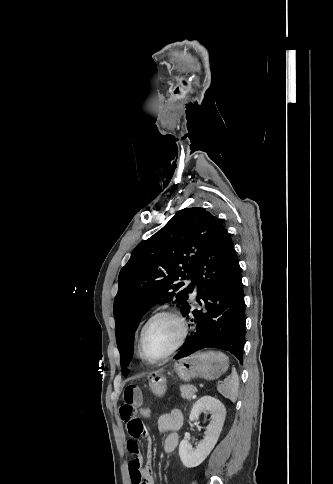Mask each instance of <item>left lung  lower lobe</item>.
I'll list each match as a JSON object with an SVG mask.
<instances>
[{"label": "left lung lower lobe", "mask_w": 333, "mask_h": 484, "mask_svg": "<svg viewBox=\"0 0 333 484\" xmlns=\"http://www.w3.org/2000/svg\"><path fill=\"white\" fill-rule=\"evenodd\" d=\"M190 279L192 288L198 284L197 301L203 300V308L182 306L183 316L193 322V333L174 358L218 348L234 354L242 364L245 303L240 266L230 235L217 218L195 258Z\"/></svg>", "instance_id": "1"}]
</instances>
